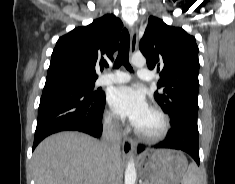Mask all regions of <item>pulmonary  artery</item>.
Listing matches in <instances>:
<instances>
[{"label":"pulmonary artery","instance_id":"e3ab8cb5","mask_svg":"<svg viewBox=\"0 0 235 184\" xmlns=\"http://www.w3.org/2000/svg\"><path fill=\"white\" fill-rule=\"evenodd\" d=\"M139 76L143 79H149L151 70L150 69H139L138 70ZM131 75L126 72H111L102 75L98 80H97V85L99 86H106V85H113V84H123L127 83L131 80Z\"/></svg>","mask_w":235,"mask_h":184}]
</instances>
